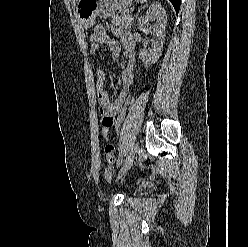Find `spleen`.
<instances>
[{
    "instance_id": "3e777b00",
    "label": "spleen",
    "mask_w": 248,
    "mask_h": 247,
    "mask_svg": "<svg viewBox=\"0 0 248 247\" xmlns=\"http://www.w3.org/2000/svg\"><path fill=\"white\" fill-rule=\"evenodd\" d=\"M141 1V3H144L146 0H140Z\"/></svg>"
}]
</instances>
